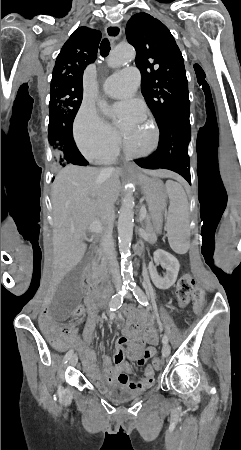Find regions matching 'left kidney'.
<instances>
[{
    "label": "left kidney",
    "mask_w": 241,
    "mask_h": 450,
    "mask_svg": "<svg viewBox=\"0 0 241 450\" xmlns=\"http://www.w3.org/2000/svg\"><path fill=\"white\" fill-rule=\"evenodd\" d=\"M153 262H155L156 266L161 264L162 268H165L166 274L164 278L159 276ZM153 262L149 264V272L154 286L159 288V290H168L177 280L180 268L177 258H174L172 254H168V252H164V250H156L153 254Z\"/></svg>",
    "instance_id": "5707ae66"
}]
</instances>
